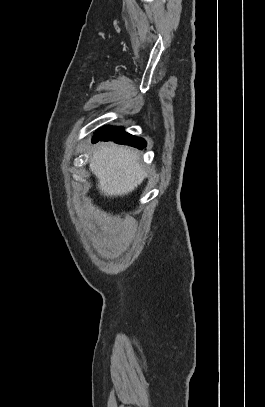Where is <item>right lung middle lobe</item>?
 I'll use <instances>...</instances> for the list:
<instances>
[{
	"instance_id": "right-lung-middle-lobe-1",
	"label": "right lung middle lobe",
	"mask_w": 265,
	"mask_h": 407,
	"mask_svg": "<svg viewBox=\"0 0 265 407\" xmlns=\"http://www.w3.org/2000/svg\"><path fill=\"white\" fill-rule=\"evenodd\" d=\"M111 128H113V127H104V128H101L100 130H98V131L95 133V135H99V134H101V133H103V132H106V131L110 130Z\"/></svg>"
}]
</instances>
